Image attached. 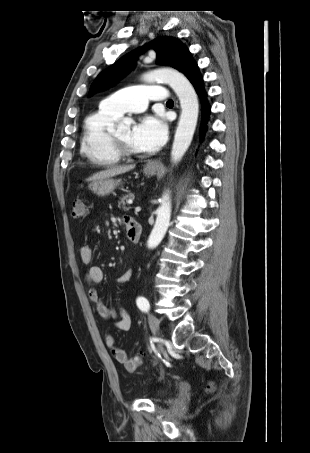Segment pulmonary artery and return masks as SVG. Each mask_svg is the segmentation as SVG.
<instances>
[{
    "instance_id": "e3ab8cb5",
    "label": "pulmonary artery",
    "mask_w": 310,
    "mask_h": 453,
    "mask_svg": "<svg viewBox=\"0 0 310 453\" xmlns=\"http://www.w3.org/2000/svg\"><path fill=\"white\" fill-rule=\"evenodd\" d=\"M166 98V89L163 86H133L109 95L101 102V106L118 115L126 112L140 113L147 108L149 100L163 101Z\"/></svg>"
}]
</instances>
